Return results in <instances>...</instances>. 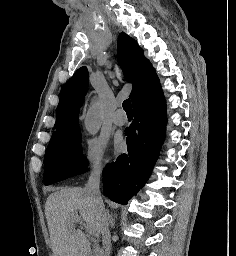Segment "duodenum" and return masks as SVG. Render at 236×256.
<instances>
[{
    "label": "duodenum",
    "mask_w": 236,
    "mask_h": 256,
    "mask_svg": "<svg viewBox=\"0 0 236 256\" xmlns=\"http://www.w3.org/2000/svg\"><path fill=\"white\" fill-rule=\"evenodd\" d=\"M93 254L91 253V251H89V254H88V256H92Z\"/></svg>",
    "instance_id": "1"
}]
</instances>
